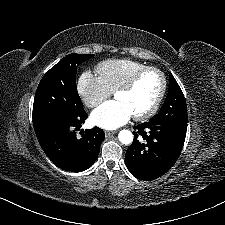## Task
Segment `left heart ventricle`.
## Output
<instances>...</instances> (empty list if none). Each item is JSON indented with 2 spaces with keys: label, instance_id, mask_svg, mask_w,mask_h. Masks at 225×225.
I'll list each match as a JSON object with an SVG mask.
<instances>
[{
  "label": "left heart ventricle",
  "instance_id": "left-heart-ventricle-1",
  "mask_svg": "<svg viewBox=\"0 0 225 225\" xmlns=\"http://www.w3.org/2000/svg\"><path fill=\"white\" fill-rule=\"evenodd\" d=\"M160 86V76L150 71L138 80L131 91L118 93L115 99L123 103L132 115H138L152 106L158 96Z\"/></svg>",
  "mask_w": 225,
  "mask_h": 225
}]
</instances>
